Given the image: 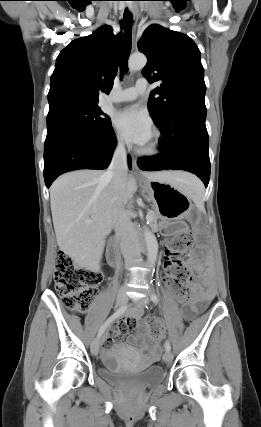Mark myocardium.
<instances>
[{
  "label": "myocardium",
  "instance_id": "obj_1",
  "mask_svg": "<svg viewBox=\"0 0 261 427\" xmlns=\"http://www.w3.org/2000/svg\"><path fill=\"white\" fill-rule=\"evenodd\" d=\"M161 147V134L158 130H154L151 136L150 143L140 148L139 154L143 156H154L160 153Z\"/></svg>",
  "mask_w": 261,
  "mask_h": 427
}]
</instances>
